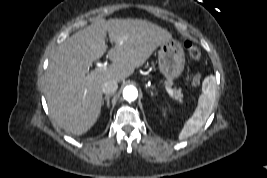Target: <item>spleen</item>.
<instances>
[{
  "mask_svg": "<svg viewBox=\"0 0 267 178\" xmlns=\"http://www.w3.org/2000/svg\"><path fill=\"white\" fill-rule=\"evenodd\" d=\"M216 98V82L213 76L205 78L202 84V93L193 115L185 122L179 140L186 139L199 131L210 116Z\"/></svg>",
  "mask_w": 267,
  "mask_h": 178,
  "instance_id": "spleen-1",
  "label": "spleen"
}]
</instances>
